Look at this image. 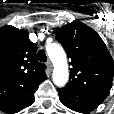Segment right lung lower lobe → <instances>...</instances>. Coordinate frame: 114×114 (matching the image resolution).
Listing matches in <instances>:
<instances>
[{
    "instance_id": "1",
    "label": "right lung lower lobe",
    "mask_w": 114,
    "mask_h": 114,
    "mask_svg": "<svg viewBox=\"0 0 114 114\" xmlns=\"http://www.w3.org/2000/svg\"><path fill=\"white\" fill-rule=\"evenodd\" d=\"M35 91L36 90L32 91L29 94L21 96L15 100H12L4 105H1L0 110L10 114L21 111L22 109L30 106L35 101V98H34Z\"/></svg>"
}]
</instances>
